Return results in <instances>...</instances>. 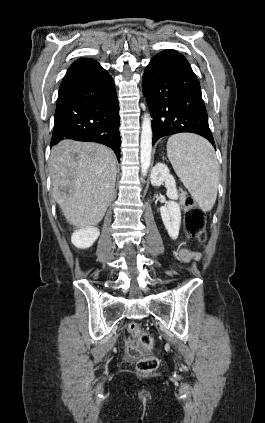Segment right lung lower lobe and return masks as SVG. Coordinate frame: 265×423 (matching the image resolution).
<instances>
[{"label":"right lung lower lobe","mask_w":265,"mask_h":423,"mask_svg":"<svg viewBox=\"0 0 265 423\" xmlns=\"http://www.w3.org/2000/svg\"><path fill=\"white\" fill-rule=\"evenodd\" d=\"M119 105L114 82L96 61L81 58L59 88L51 146L73 139L104 144L120 160Z\"/></svg>","instance_id":"1"}]
</instances>
